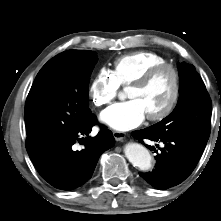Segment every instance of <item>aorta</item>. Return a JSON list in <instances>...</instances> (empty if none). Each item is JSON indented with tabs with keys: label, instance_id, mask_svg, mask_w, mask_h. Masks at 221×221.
Listing matches in <instances>:
<instances>
[{
	"label": "aorta",
	"instance_id": "aorta-1",
	"mask_svg": "<svg viewBox=\"0 0 221 221\" xmlns=\"http://www.w3.org/2000/svg\"><path fill=\"white\" fill-rule=\"evenodd\" d=\"M124 153L134 167H138L141 170H148L151 168L152 157L143 145L128 143L124 147Z\"/></svg>",
	"mask_w": 221,
	"mask_h": 221
}]
</instances>
